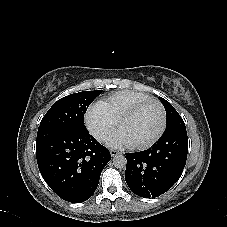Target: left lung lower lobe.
I'll use <instances>...</instances> for the list:
<instances>
[{
	"instance_id": "1",
	"label": "left lung lower lobe",
	"mask_w": 227,
	"mask_h": 227,
	"mask_svg": "<svg viewBox=\"0 0 227 227\" xmlns=\"http://www.w3.org/2000/svg\"><path fill=\"white\" fill-rule=\"evenodd\" d=\"M186 127L168 128L147 150L126 155L125 180L131 191L143 198H155L168 191L180 178L186 164Z\"/></svg>"
}]
</instances>
